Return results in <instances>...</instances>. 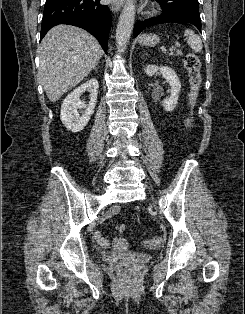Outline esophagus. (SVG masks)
<instances>
[{"mask_svg":"<svg viewBox=\"0 0 245 314\" xmlns=\"http://www.w3.org/2000/svg\"><path fill=\"white\" fill-rule=\"evenodd\" d=\"M111 11L116 14L121 10V3L120 2H112L111 3Z\"/></svg>","mask_w":245,"mask_h":314,"instance_id":"34e87169","label":"esophagus"}]
</instances>
